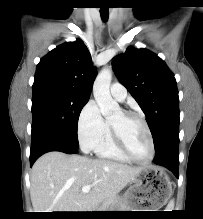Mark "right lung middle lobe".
Instances as JSON below:
<instances>
[{"mask_svg":"<svg viewBox=\"0 0 203 219\" xmlns=\"http://www.w3.org/2000/svg\"><path fill=\"white\" fill-rule=\"evenodd\" d=\"M32 90L31 137L51 136L68 149L77 150L78 119L89 98L52 86L32 87Z\"/></svg>","mask_w":203,"mask_h":219,"instance_id":"right-lung-middle-lobe-1","label":"right lung middle lobe"}]
</instances>
